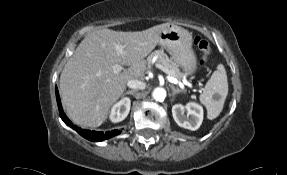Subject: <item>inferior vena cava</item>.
I'll list each match as a JSON object with an SVG mask.
<instances>
[{"label": "inferior vena cava", "instance_id": "inferior-vena-cava-1", "mask_svg": "<svg viewBox=\"0 0 287 175\" xmlns=\"http://www.w3.org/2000/svg\"><path fill=\"white\" fill-rule=\"evenodd\" d=\"M127 86L133 89H145L146 83L137 79H133L127 82Z\"/></svg>", "mask_w": 287, "mask_h": 175}]
</instances>
